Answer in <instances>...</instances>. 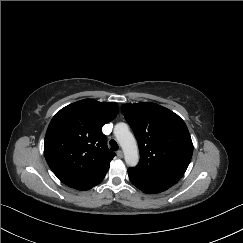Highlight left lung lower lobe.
Masks as SVG:
<instances>
[{
    "instance_id": "left-lung-lower-lobe-1",
    "label": "left lung lower lobe",
    "mask_w": 243,
    "mask_h": 243,
    "mask_svg": "<svg viewBox=\"0 0 243 243\" xmlns=\"http://www.w3.org/2000/svg\"><path fill=\"white\" fill-rule=\"evenodd\" d=\"M183 173L169 172L150 177H136L129 174L131 183L144 193L153 194L167 190L176 184Z\"/></svg>"
}]
</instances>
